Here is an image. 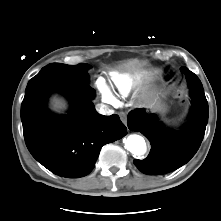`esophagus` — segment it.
I'll return each instance as SVG.
<instances>
[{"mask_svg": "<svg viewBox=\"0 0 221 221\" xmlns=\"http://www.w3.org/2000/svg\"><path fill=\"white\" fill-rule=\"evenodd\" d=\"M120 118L124 124H127V116L124 113L120 114Z\"/></svg>", "mask_w": 221, "mask_h": 221, "instance_id": "1", "label": "esophagus"}]
</instances>
